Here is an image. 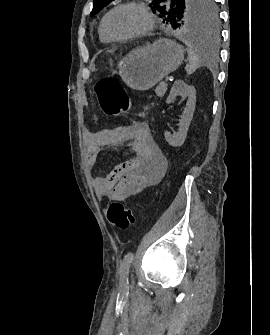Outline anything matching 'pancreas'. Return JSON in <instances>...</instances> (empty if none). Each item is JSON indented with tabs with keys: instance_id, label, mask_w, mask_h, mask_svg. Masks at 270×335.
<instances>
[{
	"instance_id": "cf45deb5",
	"label": "pancreas",
	"mask_w": 270,
	"mask_h": 335,
	"mask_svg": "<svg viewBox=\"0 0 270 335\" xmlns=\"http://www.w3.org/2000/svg\"><path fill=\"white\" fill-rule=\"evenodd\" d=\"M166 90H167L166 82H160L159 86H157V88L155 90V94H156V96H158V98H162V96H164Z\"/></svg>"
}]
</instances>
